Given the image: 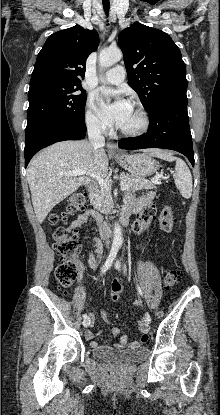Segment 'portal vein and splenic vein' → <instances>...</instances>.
Returning a JSON list of instances; mask_svg holds the SVG:
<instances>
[{"label":"portal vein and splenic vein","instance_id":"18ae733b","mask_svg":"<svg viewBox=\"0 0 220 415\" xmlns=\"http://www.w3.org/2000/svg\"><path fill=\"white\" fill-rule=\"evenodd\" d=\"M64 174L65 175H71V176H79V175H85V174H87V172L79 170V171L67 172V173H64ZM89 175H90L91 178H93L94 180H96L98 182V184L100 185L101 188L105 189L106 191H109L111 189V184L108 180H105L102 177H100L96 174H93V173H91ZM162 177H163L162 174L156 176V178H162ZM153 182H155V181H153ZM120 186H121L122 191H124L128 188V184H126V183H121Z\"/></svg>","mask_w":220,"mask_h":415}]
</instances>
